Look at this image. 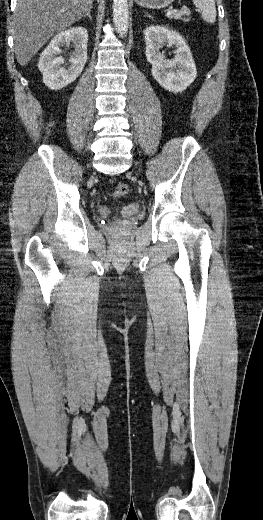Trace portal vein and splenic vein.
I'll return each mask as SVG.
<instances>
[{
  "label": "portal vein and splenic vein",
  "instance_id": "obj_1",
  "mask_svg": "<svg viewBox=\"0 0 263 520\" xmlns=\"http://www.w3.org/2000/svg\"><path fill=\"white\" fill-rule=\"evenodd\" d=\"M173 12H174V11H173L172 9L168 10V11H167V16H170L171 14H173Z\"/></svg>",
  "mask_w": 263,
  "mask_h": 520
}]
</instances>
